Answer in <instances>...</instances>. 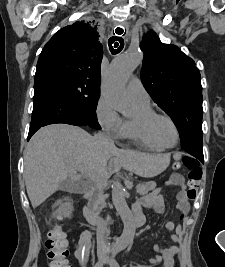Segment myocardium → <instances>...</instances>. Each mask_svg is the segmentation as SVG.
<instances>
[{"mask_svg":"<svg viewBox=\"0 0 225 267\" xmlns=\"http://www.w3.org/2000/svg\"><path fill=\"white\" fill-rule=\"evenodd\" d=\"M160 119H165L167 121H169L174 129H175V132H176V142L171 145V146H166V145H162L157 137H156V133H155V124L158 120ZM147 129L149 131V134L151 136V138L154 140L155 143H157L162 149H172L174 147H176L179 142H180V131H179V127L177 125V123L175 122V120L170 117L169 115L167 114H162V113H153L147 120Z\"/></svg>","mask_w":225,"mask_h":267,"instance_id":"obj_1","label":"myocardium"}]
</instances>
